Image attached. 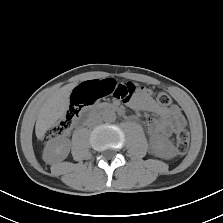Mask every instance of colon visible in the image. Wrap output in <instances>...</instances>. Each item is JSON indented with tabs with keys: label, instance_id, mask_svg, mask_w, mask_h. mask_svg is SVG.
Returning <instances> with one entry per match:
<instances>
[{
	"label": "colon",
	"instance_id": "obj_1",
	"mask_svg": "<svg viewBox=\"0 0 223 223\" xmlns=\"http://www.w3.org/2000/svg\"><path fill=\"white\" fill-rule=\"evenodd\" d=\"M136 91V86L131 82L117 84L112 79L102 81H87L77 85L70 94V105L63 118L55 124L47 133V139L64 136L72 127L74 120L81 109L93 104L105 96H112L115 99L127 102ZM157 102L167 107L172 100L166 93H159ZM190 137L186 130L178 131L176 135V148L179 154H185L189 149Z\"/></svg>",
	"mask_w": 223,
	"mask_h": 223
}]
</instances>
